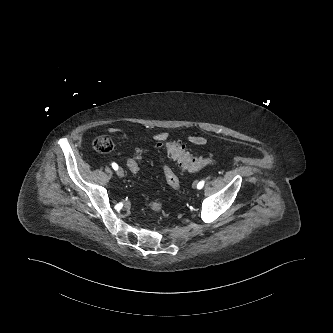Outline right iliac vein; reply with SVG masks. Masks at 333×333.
Masks as SVG:
<instances>
[{"mask_svg":"<svg viewBox=\"0 0 333 333\" xmlns=\"http://www.w3.org/2000/svg\"><path fill=\"white\" fill-rule=\"evenodd\" d=\"M117 175L120 177V178H123L124 177V171L122 168H118L117 169Z\"/></svg>","mask_w":333,"mask_h":333,"instance_id":"right-iliac-vein-1","label":"right iliac vein"}]
</instances>
